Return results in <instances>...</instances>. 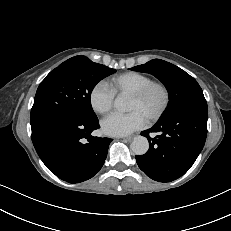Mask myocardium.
Masks as SVG:
<instances>
[{"label":"myocardium","mask_w":231,"mask_h":231,"mask_svg":"<svg viewBox=\"0 0 231 231\" xmlns=\"http://www.w3.org/2000/svg\"><path fill=\"white\" fill-rule=\"evenodd\" d=\"M153 90H159L161 92L162 102L155 112L148 115L147 119L151 122L158 121L168 110L171 101V93L169 87L162 81L152 80L139 90L130 94V97L138 101H142L146 99Z\"/></svg>","instance_id":"1"}]
</instances>
